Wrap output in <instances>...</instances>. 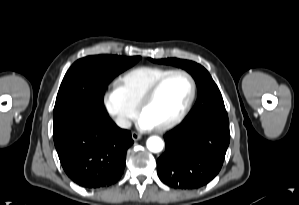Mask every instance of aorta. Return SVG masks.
<instances>
[{
	"label": "aorta",
	"mask_w": 299,
	"mask_h": 205,
	"mask_svg": "<svg viewBox=\"0 0 299 205\" xmlns=\"http://www.w3.org/2000/svg\"><path fill=\"white\" fill-rule=\"evenodd\" d=\"M146 145L149 151L153 153H158L163 150L164 142L160 137L152 136L148 138Z\"/></svg>",
	"instance_id": "1"
}]
</instances>
